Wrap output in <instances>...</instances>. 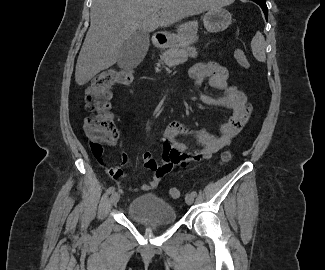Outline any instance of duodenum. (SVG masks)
I'll use <instances>...</instances> for the list:
<instances>
[{
  "instance_id": "duodenum-1",
  "label": "duodenum",
  "mask_w": 325,
  "mask_h": 270,
  "mask_svg": "<svg viewBox=\"0 0 325 270\" xmlns=\"http://www.w3.org/2000/svg\"><path fill=\"white\" fill-rule=\"evenodd\" d=\"M153 39L158 46H161V44L166 41V35L162 32H156Z\"/></svg>"
}]
</instances>
